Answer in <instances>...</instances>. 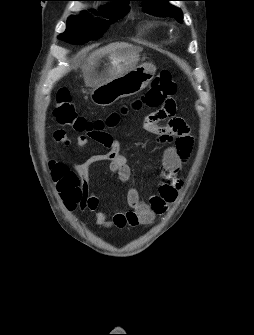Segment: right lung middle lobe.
<instances>
[{
    "label": "right lung middle lobe",
    "mask_w": 254,
    "mask_h": 335,
    "mask_svg": "<svg viewBox=\"0 0 254 335\" xmlns=\"http://www.w3.org/2000/svg\"><path fill=\"white\" fill-rule=\"evenodd\" d=\"M129 10L128 5L109 6L104 11V15L109 21L93 19L87 12L83 13L82 17H70L66 32L59 35L58 38L72 43H83L87 40L100 38L111 23L124 17Z\"/></svg>",
    "instance_id": "obj_1"
}]
</instances>
